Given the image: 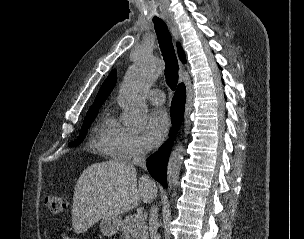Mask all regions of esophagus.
<instances>
[{
  "label": "esophagus",
  "instance_id": "34e87169",
  "mask_svg": "<svg viewBox=\"0 0 304 239\" xmlns=\"http://www.w3.org/2000/svg\"><path fill=\"white\" fill-rule=\"evenodd\" d=\"M167 22H168V24L170 26L171 33L173 35L174 40L177 41L179 39V36H178L176 28L174 27V25L172 24L171 21L168 20ZM179 68H180V72L182 73L183 70H184V65L181 62L179 64Z\"/></svg>",
  "mask_w": 304,
  "mask_h": 239
}]
</instances>
